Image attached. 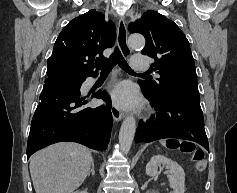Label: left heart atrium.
Wrapping results in <instances>:
<instances>
[{
    "label": "left heart atrium",
    "instance_id": "1",
    "mask_svg": "<svg viewBox=\"0 0 237 193\" xmlns=\"http://www.w3.org/2000/svg\"><path fill=\"white\" fill-rule=\"evenodd\" d=\"M111 99L113 104L123 109L134 108L140 105V100L133 86L126 83L120 84L113 89Z\"/></svg>",
    "mask_w": 237,
    "mask_h": 193
}]
</instances>
